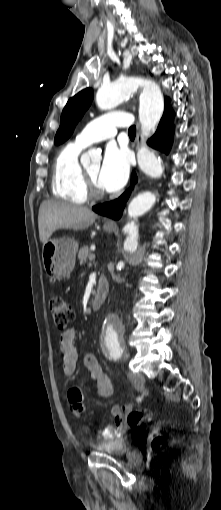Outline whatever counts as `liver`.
Here are the masks:
<instances>
[{
  "label": "liver",
  "instance_id": "liver-1",
  "mask_svg": "<svg viewBox=\"0 0 221 510\" xmlns=\"http://www.w3.org/2000/svg\"><path fill=\"white\" fill-rule=\"evenodd\" d=\"M97 218L96 213L87 207L56 200L42 202L39 208V238L44 244L59 229H86Z\"/></svg>",
  "mask_w": 221,
  "mask_h": 510
}]
</instances>
